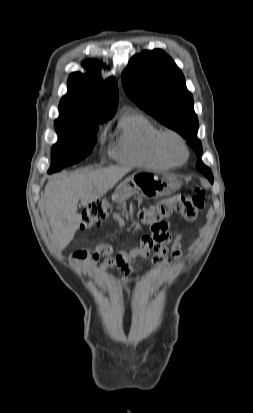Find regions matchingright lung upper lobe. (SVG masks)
<instances>
[{
  "instance_id": "cb5924a9",
  "label": "right lung upper lobe",
  "mask_w": 253,
  "mask_h": 413,
  "mask_svg": "<svg viewBox=\"0 0 253 413\" xmlns=\"http://www.w3.org/2000/svg\"><path fill=\"white\" fill-rule=\"evenodd\" d=\"M83 66L89 74L72 73L68 79V92L59 104L58 119L111 118L118 103V88L113 77L103 81V66L94 60H86Z\"/></svg>"
}]
</instances>
